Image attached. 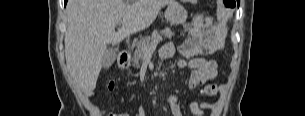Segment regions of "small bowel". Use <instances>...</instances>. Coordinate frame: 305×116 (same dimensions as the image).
Masks as SVG:
<instances>
[{
	"label": "small bowel",
	"instance_id": "1",
	"mask_svg": "<svg viewBox=\"0 0 305 116\" xmlns=\"http://www.w3.org/2000/svg\"><path fill=\"white\" fill-rule=\"evenodd\" d=\"M220 48V43L217 39L211 38L205 42L202 49L205 53L211 54L216 52ZM175 53V47L172 43H166L160 50V56L162 59H169ZM179 68H189L192 70L189 87L191 89H197L203 87V92L207 96H215L218 93V86L214 83H209L217 75V63L214 60L195 57L190 60H179L177 62ZM170 107L171 114L173 116H183L180 100L177 95H170L167 99ZM215 106L212 102L198 103L192 101L189 104V109L194 116H206L205 111L211 110ZM137 116H146L145 110L140 109Z\"/></svg>",
	"mask_w": 305,
	"mask_h": 116
}]
</instances>
